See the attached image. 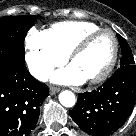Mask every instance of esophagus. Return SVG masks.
<instances>
[{"label": "esophagus", "mask_w": 136, "mask_h": 136, "mask_svg": "<svg viewBox=\"0 0 136 136\" xmlns=\"http://www.w3.org/2000/svg\"><path fill=\"white\" fill-rule=\"evenodd\" d=\"M60 89L58 87H55V86H50L49 87V91H50V94L51 95H54L56 94Z\"/></svg>", "instance_id": "esophagus-1"}]
</instances>
